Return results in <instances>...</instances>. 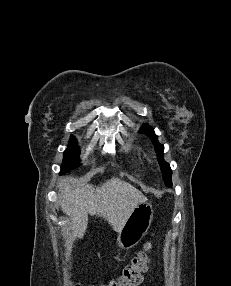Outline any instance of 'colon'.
<instances>
[{
	"mask_svg": "<svg viewBox=\"0 0 231 286\" xmlns=\"http://www.w3.org/2000/svg\"><path fill=\"white\" fill-rule=\"evenodd\" d=\"M150 248V244H147L145 248L138 252L131 262L124 267L118 278L109 281L105 285L99 286H137L142 281L144 273L148 270Z\"/></svg>",
	"mask_w": 231,
	"mask_h": 286,
	"instance_id": "1",
	"label": "colon"
}]
</instances>
